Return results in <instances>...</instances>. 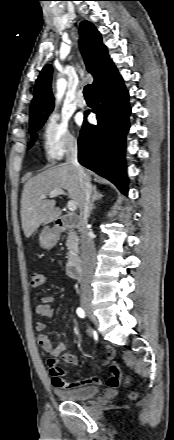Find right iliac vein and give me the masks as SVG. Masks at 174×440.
I'll use <instances>...</instances> for the list:
<instances>
[{
	"mask_svg": "<svg viewBox=\"0 0 174 440\" xmlns=\"http://www.w3.org/2000/svg\"><path fill=\"white\" fill-rule=\"evenodd\" d=\"M83 309L91 317L94 322H97V318L93 314V308L89 303H83Z\"/></svg>",
	"mask_w": 174,
	"mask_h": 440,
	"instance_id": "63e3f726",
	"label": "right iliac vein"
}]
</instances>
